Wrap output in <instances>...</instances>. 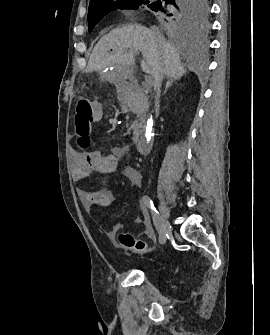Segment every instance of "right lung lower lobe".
I'll list each match as a JSON object with an SVG mask.
<instances>
[{"mask_svg": "<svg viewBox=\"0 0 270 335\" xmlns=\"http://www.w3.org/2000/svg\"><path fill=\"white\" fill-rule=\"evenodd\" d=\"M164 1V0H163ZM164 2H168V0H165ZM162 7H164V3H163V5H162Z\"/></svg>", "mask_w": 270, "mask_h": 335, "instance_id": "right-lung-lower-lobe-1", "label": "right lung lower lobe"}]
</instances>
